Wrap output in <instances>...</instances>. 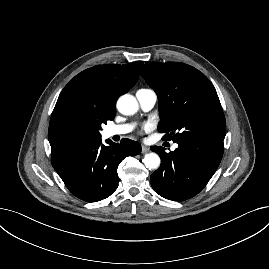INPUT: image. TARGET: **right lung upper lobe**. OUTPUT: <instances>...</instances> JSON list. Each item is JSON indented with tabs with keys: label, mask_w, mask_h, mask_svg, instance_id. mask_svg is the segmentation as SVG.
<instances>
[{
	"label": "right lung upper lobe",
	"mask_w": 269,
	"mask_h": 269,
	"mask_svg": "<svg viewBox=\"0 0 269 269\" xmlns=\"http://www.w3.org/2000/svg\"><path fill=\"white\" fill-rule=\"evenodd\" d=\"M142 65V61L97 65L76 75L62 90L51 115V154L94 139L93 123L114 119L118 97L136 84Z\"/></svg>",
	"instance_id": "cb5924a9"
}]
</instances>
